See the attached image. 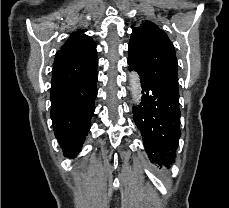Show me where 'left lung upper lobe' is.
I'll list each match as a JSON object with an SVG mask.
<instances>
[{
  "instance_id": "5c2ea615",
  "label": "left lung upper lobe",
  "mask_w": 229,
  "mask_h": 208,
  "mask_svg": "<svg viewBox=\"0 0 229 208\" xmlns=\"http://www.w3.org/2000/svg\"><path fill=\"white\" fill-rule=\"evenodd\" d=\"M128 61L158 86L179 95L175 49L166 33L151 21L133 27Z\"/></svg>"
}]
</instances>
